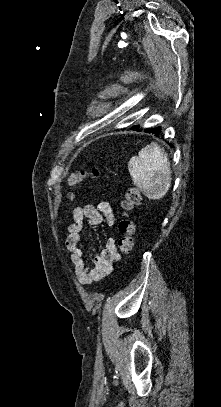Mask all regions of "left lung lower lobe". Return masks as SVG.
<instances>
[{"label":"left lung lower lobe","instance_id":"0a47b994","mask_svg":"<svg viewBox=\"0 0 221 407\" xmlns=\"http://www.w3.org/2000/svg\"><path fill=\"white\" fill-rule=\"evenodd\" d=\"M136 128H139V126H136ZM160 130H161V127H157V128H151V129H145V131L146 132H149V133H154L156 136H158L161 132H160ZM139 131V130H138Z\"/></svg>","mask_w":221,"mask_h":407}]
</instances>
